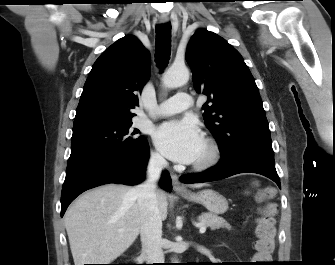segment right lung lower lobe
I'll list each match as a JSON object with an SVG mask.
<instances>
[{
  "label": "right lung lower lobe",
  "mask_w": 335,
  "mask_h": 265,
  "mask_svg": "<svg viewBox=\"0 0 335 265\" xmlns=\"http://www.w3.org/2000/svg\"><path fill=\"white\" fill-rule=\"evenodd\" d=\"M149 159L146 143L137 152L124 154H88L68 161L61 194V217L68 205L82 192L107 183L135 185L144 180ZM160 185L171 191V177L162 174Z\"/></svg>",
  "instance_id": "obj_1"
}]
</instances>
